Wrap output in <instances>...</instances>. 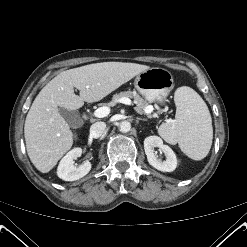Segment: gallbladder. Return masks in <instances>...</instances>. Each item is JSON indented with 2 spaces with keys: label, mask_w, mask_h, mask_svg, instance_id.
I'll return each instance as SVG.
<instances>
[{
  "label": "gallbladder",
  "mask_w": 247,
  "mask_h": 247,
  "mask_svg": "<svg viewBox=\"0 0 247 247\" xmlns=\"http://www.w3.org/2000/svg\"><path fill=\"white\" fill-rule=\"evenodd\" d=\"M59 113L72 127H80L83 123L77 111H69L64 108H60Z\"/></svg>",
  "instance_id": "gallbladder-1"
}]
</instances>
